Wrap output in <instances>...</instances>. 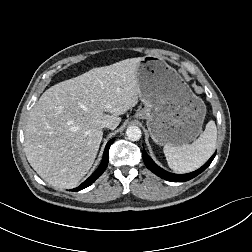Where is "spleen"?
Segmentation results:
<instances>
[{
  "instance_id": "1",
  "label": "spleen",
  "mask_w": 252,
  "mask_h": 252,
  "mask_svg": "<svg viewBox=\"0 0 252 252\" xmlns=\"http://www.w3.org/2000/svg\"><path fill=\"white\" fill-rule=\"evenodd\" d=\"M217 141V128L214 121H209L205 130L192 144L163 148L168 166L180 173L193 171L203 165L214 153Z\"/></svg>"
}]
</instances>
